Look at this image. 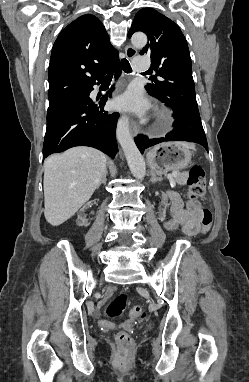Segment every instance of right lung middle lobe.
<instances>
[{"mask_svg": "<svg viewBox=\"0 0 249 382\" xmlns=\"http://www.w3.org/2000/svg\"><path fill=\"white\" fill-rule=\"evenodd\" d=\"M84 97H85V92L82 91V92L76 93V94H74L72 96H69V97H67L65 99H62L60 101L49 103V108H48V113L47 114L53 113V112L61 109L62 107L70 104V103H73V102H76V101H80V100L84 99Z\"/></svg>", "mask_w": 249, "mask_h": 382, "instance_id": "right-lung-middle-lobe-1", "label": "right lung middle lobe"}]
</instances>
